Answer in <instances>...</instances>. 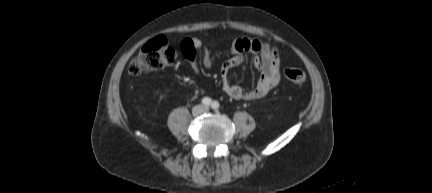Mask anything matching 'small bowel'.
Wrapping results in <instances>:
<instances>
[{
	"mask_svg": "<svg viewBox=\"0 0 432 193\" xmlns=\"http://www.w3.org/2000/svg\"><path fill=\"white\" fill-rule=\"evenodd\" d=\"M204 47L205 42L199 38H185L180 43V50L196 75L199 73L197 51ZM243 61H250L260 73L256 86L250 90H244L239 85L231 83L228 78L229 71ZM203 63L208 69L215 67V61L207 53L203 55ZM220 77L222 90L231 98L249 101L262 99L280 81L279 52L268 43L256 39L238 38L233 43L232 56L221 66Z\"/></svg>",
	"mask_w": 432,
	"mask_h": 193,
	"instance_id": "small-bowel-1",
	"label": "small bowel"
}]
</instances>
